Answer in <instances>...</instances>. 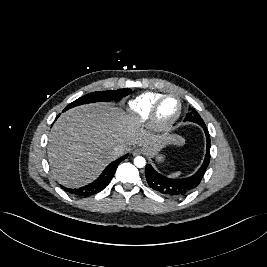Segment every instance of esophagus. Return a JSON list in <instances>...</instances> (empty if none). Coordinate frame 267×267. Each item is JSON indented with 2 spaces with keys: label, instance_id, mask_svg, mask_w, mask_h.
<instances>
[{
  "label": "esophagus",
  "instance_id": "34e87169",
  "mask_svg": "<svg viewBox=\"0 0 267 267\" xmlns=\"http://www.w3.org/2000/svg\"><path fill=\"white\" fill-rule=\"evenodd\" d=\"M132 153H133L134 156H137V155L142 153V150L139 149V148H135Z\"/></svg>",
  "mask_w": 267,
  "mask_h": 267
}]
</instances>
